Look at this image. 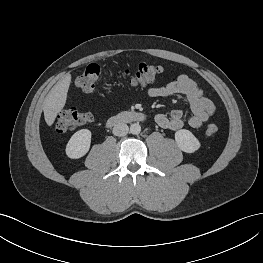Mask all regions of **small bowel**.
<instances>
[{
    "instance_id": "c3829d8e",
    "label": "small bowel",
    "mask_w": 263,
    "mask_h": 263,
    "mask_svg": "<svg viewBox=\"0 0 263 263\" xmlns=\"http://www.w3.org/2000/svg\"><path fill=\"white\" fill-rule=\"evenodd\" d=\"M148 95L153 98L183 95L187 99L191 115L186 119L181 109H174L170 114L158 113L156 123L165 129L179 130L185 124L192 128H199L215 114L213 102L204 95L203 88L187 75H180L165 86L149 88Z\"/></svg>"
}]
</instances>
